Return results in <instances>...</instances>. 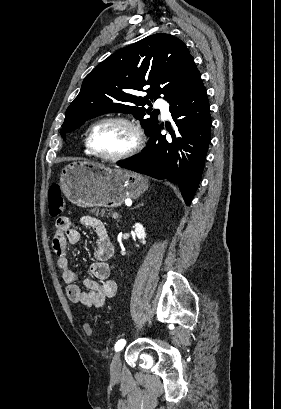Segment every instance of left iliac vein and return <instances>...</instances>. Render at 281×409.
Returning a JSON list of instances; mask_svg holds the SVG:
<instances>
[{
    "instance_id": "1",
    "label": "left iliac vein",
    "mask_w": 281,
    "mask_h": 409,
    "mask_svg": "<svg viewBox=\"0 0 281 409\" xmlns=\"http://www.w3.org/2000/svg\"><path fill=\"white\" fill-rule=\"evenodd\" d=\"M120 372H121V354L120 352H117L113 356V359L110 365V373L112 377H117L120 375Z\"/></svg>"
}]
</instances>
